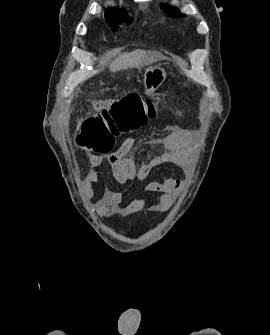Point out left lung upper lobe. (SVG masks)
<instances>
[{"mask_svg": "<svg viewBox=\"0 0 270 335\" xmlns=\"http://www.w3.org/2000/svg\"><path fill=\"white\" fill-rule=\"evenodd\" d=\"M161 8L170 16L173 17H184L185 15L181 14L179 11H175L174 9H170L167 6L161 5Z\"/></svg>", "mask_w": 270, "mask_h": 335, "instance_id": "obj_1", "label": "left lung upper lobe"}]
</instances>
